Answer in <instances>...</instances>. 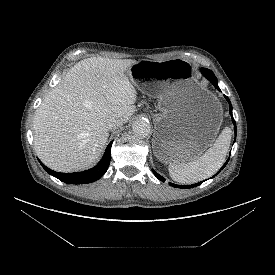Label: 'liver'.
Masks as SVG:
<instances>
[{"label": "liver", "mask_w": 275, "mask_h": 275, "mask_svg": "<svg viewBox=\"0 0 275 275\" xmlns=\"http://www.w3.org/2000/svg\"><path fill=\"white\" fill-rule=\"evenodd\" d=\"M131 59L91 57L74 65L53 88L34 117L37 156L58 172L83 170L100 157L112 116L127 122L137 91L126 74Z\"/></svg>", "instance_id": "liver-1"}]
</instances>
